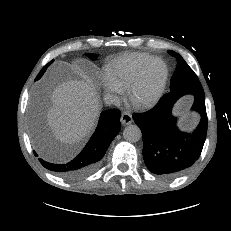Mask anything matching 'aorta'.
I'll return each mask as SVG.
<instances>
[{"instance_id": "762f6f07", "label": "aorta", "mask_w": 231, "mask_h": 231, "mask_svg": "<svg viewBox=\"0 0 231 231\" xmlns=\"http://www.w3.org/2000/svg\"><path fill=\"white\" fill-rule=\"evenodd\" d=\"M123 137L126 141L134 143L140 140L142 133L137 125H129L124 129Z\"/></svg>"}]
</instances>
